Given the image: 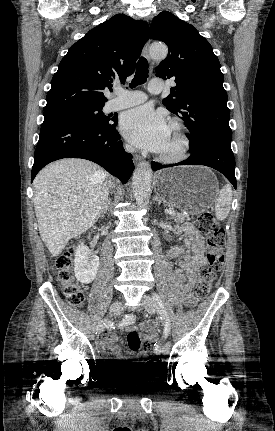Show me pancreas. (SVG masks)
Here are the masks:
<instances>
[{
    "mask_svg": "<svg viewBox=\"0 0 275 431\" xmlns=\"http://www.w3.org/2000/svg\"><path fill=\"white\" fill-rule=\"evenodd\" d=\"M170 218L174 219L175 222L182 223L186 220V216L182 213H175L170 215Z\"/></svg>",
    "mask_w": 275,
    "mask_h": 431,
    "instance_id": "cf45deb5",
    "label": "pancreas"
}]
</instances>
